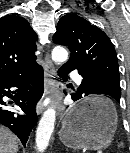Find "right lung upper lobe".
Instances as JSON below:
<instances>
[{
  "label": "right lung upper lobe",
  "mask_w": 130,
  "mask_h": 153,
  "mask_svg": "<svg viewBox=\"0 0 130 153\" xmlns=\"http://www.w3.org/2000/svg\"><path fill=\"white\" fill-rule=\"evenodd\" d=\"M36 40L26 19L17 15L0 18V79L26 75L39 67Z\"/></svg>",
  "instance_id": "1"
}]
</instances>
